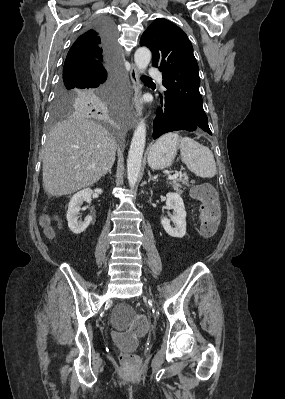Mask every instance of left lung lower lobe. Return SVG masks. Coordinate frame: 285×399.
<instances>
[{"instance_id":"obj_1","label":"left lung lower lobe","mask_w":285,"mask_h":399,"mask_svg":"<svg viewBox=\"0 0 285 399\" xmlns=\"http://www.w3.org/2000/svg\"><path fill=\"white\" fill-rule=\"evenodd\" d=\"M160 102L158 117L153 123L154 139L164 133L178 130L205 132L189 114L178 108L172 99L161 97Z\"/></svg>"}]
</instances>
